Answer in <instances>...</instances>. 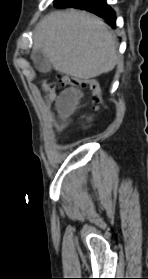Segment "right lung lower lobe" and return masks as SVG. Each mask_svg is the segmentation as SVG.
<instances>
[{
  "label": "right lung lower lobe",
  "mask_w": 148,
  "mask_h": 279,
  "mask_svg": "<svg viewBox=\"0 0 148 279\" xmlns=\"http://www.w3.org/2000/svg\"><path fill=\"white\" fill-rule=\"evenodd\" d=\"M54 6L87 10L107 20L109 25L115 27V12L106 4V0H55Z\"/></svg>",
  "instance_id": "1"
}]
</instances>
